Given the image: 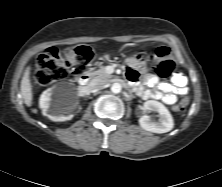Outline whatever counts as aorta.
Instances as JSON below:
<instances>
[{
	"instance_id": "aorta-1",
	"label": "aorta",
	"mask_w": 222,
	"mask_h": 187,
	"mask_svg": "<svg viewBox=\"0 0 222 187\" xmlns=\"http://www.w3.org/2000/svg\"><path fill=\"white\" fill-rule=\"evenodd\" d=\"M121 90H122L121 84H119V83H113V84H112V86H111V91H112L114 94L120 93Z\"/></svg>"
}]
</instances>
